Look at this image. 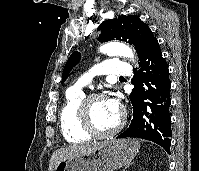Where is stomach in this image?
I'll use <instances>...</instances> for the list:
<instances>
[{
  "label": "stomach",
  "mask_w": 199,
  "mask_h": 171,
  "mask_svg": "<svg viewBox=\"0 0 199 171\" xmlns=\"http://www.w3.org/2000/svg\"><path fill=\"white\" fill-rule=\"evenodd\" d=\"M139 147L134 139H108L90 153L61 161L54 171H114L130 163Z\"/></svg>",
  "instance_id": "obj_1"
}]
</instances>
